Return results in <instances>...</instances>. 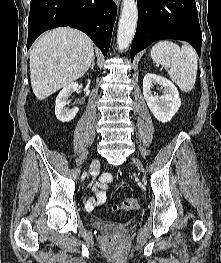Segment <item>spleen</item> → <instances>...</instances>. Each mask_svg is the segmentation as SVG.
<instances>
[{
  "instance_id": "spleen-1",
  "label": "spleen",
  "mask_w": 221,
  "mask_h": 263,
  "mask_svg": "<svg viewBox=\"0 0 221 263\" xmlns=\"http://www.w3.org/2000/svg\"><path fill=\"white\" fill-rule=\"evenodd\" d=\"M152 60L161 64L168 72L170 78L184 92L194 87L198 59L195 50L190 45L181 48L171 41H159L151 49Z\"/></svg>"
}]
</instances>
